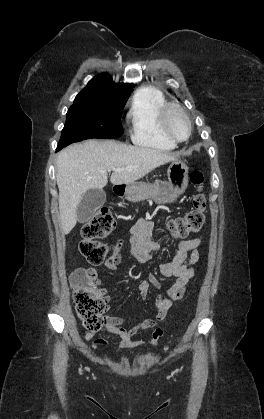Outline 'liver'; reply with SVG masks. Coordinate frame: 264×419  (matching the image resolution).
<instances>
[{"label": "liver", "instance_id": "1", "mask_svg": "<svg viewBox=\"0 0 264 419\" xmlns=\"http://www.w3.org/2000/svg\"><path fill=\"white\" fill-rule=\"evenodd\" d=\"M175 159V153L113 140H87L66 147L58 154L56 172L63 233L68 234L75 227L83 194L89 189H102L107 185L109 169H123L113 171L112 184L128 185Z\"/></svg>", "mask_w": 264, "mask_h": 419}]
</instances>
